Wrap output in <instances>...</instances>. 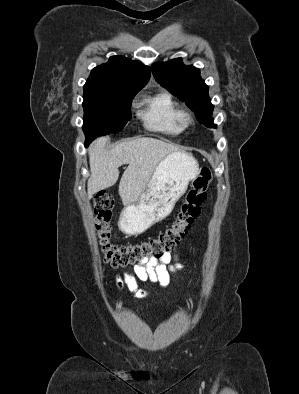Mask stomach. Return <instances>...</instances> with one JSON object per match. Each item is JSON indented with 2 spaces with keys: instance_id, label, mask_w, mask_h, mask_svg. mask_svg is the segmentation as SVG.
I'll use <instances>...</instances> for the list:
<instances>
[{
  "instance_id": "0dacf381",
  "label": "stomach",
  "mask_w": 299,
  "mask_h": 394,
  "mask_svg": "<svg viewBox=\"0 0 299 394\" xmlns=\"http://www.w3.org/2000/svg\"><path fill=\"white\" fill-rule=\"evenodd\" d=\"M199 172L196 159L184 152L167 155L156 167L139 199L121 212L118 226L127 235H138L167 217Z\"/></svg>"
}]
</instances>
